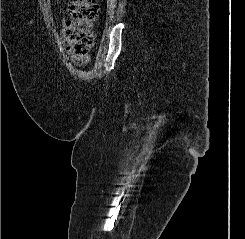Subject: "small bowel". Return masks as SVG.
<instances>
[{
  "label": "small bowel",
  "instance_id": "1",
  "mask_svg": "<svg viewBox=\"0 0 245 239\" xmlns=\"http://www.w3.org/2000/svg\"><path fill=\"white\" fill-rule=\"evenodd\" d=\"M66 28V20L63 19L62 21V30H61V35L64 36V30ZM69 49V48H68ZM68 52L70 53L71 55V59L73 61V63L77 66H84V65H87L90 61V56H84V57H78V56H75L71 50H68Z\"/></svg>",
  "mask_w": 245,
  "mask_h": 239
}]
</instances>
